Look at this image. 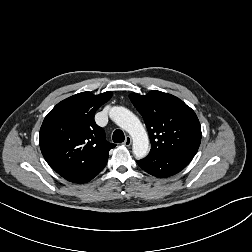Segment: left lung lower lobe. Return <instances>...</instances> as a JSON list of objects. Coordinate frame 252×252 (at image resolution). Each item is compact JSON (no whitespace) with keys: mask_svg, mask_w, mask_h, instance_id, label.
Instances as JSON below:
<instances>
[{"mask_svg":"<svg viewBox=\"0 0 252 252\" xmlns=\"http://www.w3.org/2000/svg\"><path fill=\"white\" fill-rule=\"evenodd\" d=\"M191 160V157L184 155L166 154L147 156L137 160V163L147 173L158 178H166L180 172Z\"/></svg>","mask_w":252,"mask_h":252,"instance_id":"1","label":"left lung lower lobe"}]
</instances>
